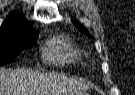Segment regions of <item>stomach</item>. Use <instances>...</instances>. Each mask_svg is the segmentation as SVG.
<instances>
[{
    "instance_id": "obj_1",
    "label": "stomach",
    "mask_w": 135,
    "mask_h": 95,
    "mask_svg": "<svg viewBox=\"0 0 135 95\" xmlns=\"http://www.w3.org/2000/svg\"><path fill=\"white\" fill-rule=\"evenodd\" d=\"M81 95H90V94H88V93H83V94H81Z\"/></svg>"
}]
</instances>
